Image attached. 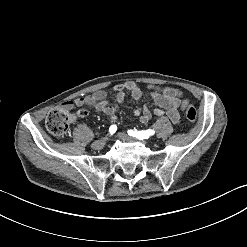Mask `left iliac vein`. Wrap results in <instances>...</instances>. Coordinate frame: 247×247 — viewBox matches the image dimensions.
I'll list each match as a JSON object with an SVG mask.
<instances>
[{"mask_svg":"<svg viewBox=\"0 0 247 247\" xmlns=\"http://www.w3.org/2000/svg\"><path fill=\"white\" fill-rule=\"evenodd\" d=\"M122 140L124 141H128V142H140V143H143V144H147V141L146 140H138L136 138H133L131 136H128L126 135L125 133H118L117 134Z\"/></svg>","mask_w":247,"mask_h":247,"instance_id":"left-iliac-vein-1","label":"left iliac vein"}]
</instances>
